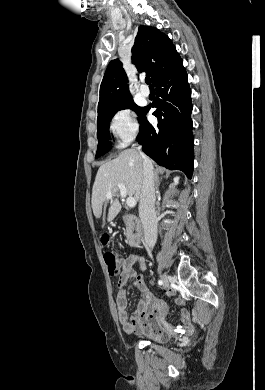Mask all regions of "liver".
<instances>
[{"label":"liver","instance_id":"1","mask_svg":"<svg viewBox=\"0 0 265 390\" xmlns=\"http://www.w3.org/2000/svg\"><path fill=\"white\" fill-rule=\"evenodd\" d=\"M143 160L140 153L131 148L122 151L119 156L100 166L92 189V209L99 218L103 203L108 200L107 192L111 191L115 199L110 198L108 221H112L121 210L118 201V184H124L127 194L140 200L143 184Z\"/></svg>","mask_w":265,"mask_h":390}]
</instances>
